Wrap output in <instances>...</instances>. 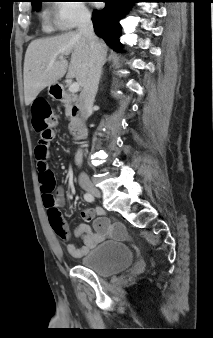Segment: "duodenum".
Here are the masks:
<instances>
[{"label":"duodenum","instance_id":"obj_1","mask_svg":"<svg viewBox=\"0 0 213 338\" xmlns=\"http://www.w3.org/2000/svg\"><path fill=\"white\" fill-rule=\"evenodd\" d=\"M52 94L56 100H60L66 97L65 88L62 85H55L52 89ZM80 112H81V109L79 105L77 103H74L72 106L71 128L77 136L82 137V136H85L86 131L80 119Z\"/></svg>","mask_w":213,"mask_h":338}]
</instances>
